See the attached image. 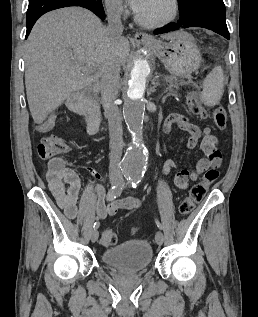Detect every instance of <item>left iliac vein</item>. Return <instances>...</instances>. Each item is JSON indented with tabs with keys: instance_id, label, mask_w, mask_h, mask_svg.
<instances>
[{
	"instance_id": "left-iliac-vein-1",
	"label": "left iliac vein",
	"mask_w": 258,
	"mask_h": 317,
	"mask_svg": "<svg viewBox=\"0 0 258 317\" xmlns=\"http://www.w3.org/2000/svg\"><path fill=\"white\" fill-rule=\"evenodd\" d=\"M117 181H118V183L121 184V183H123L124 180H123V178L120 177V178H118ZM122 185L124 186L125 184L123 183ZM155 235H156L155 238H156V240L158 241V246H162V243H163L162 240H163V238H164V237H163V235H164L163 232H162V231H157Z\"/></svg>"
}]
</instances>
